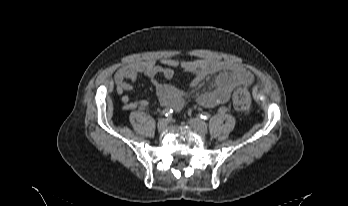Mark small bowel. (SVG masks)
<instances>
[{
  "mask_svg": "<svg viewBox=\"0 0 348 206\" xmlns=\"http://www.w3.org/2000/svg\"><path fill=\"white\" fill-rule=\"evenodd\" d=\"M175 68H181L191 74L189 89L199 86L207 76L217 74L215 88L200 93L196 98L197 102L204 107H213L228 102L236 86H250L254 80L252 74L242 65L219 59L165 58L161 64H157L153 60L129 62L119 67L114 77L117 93L122 95L123 108L133 110L148 107L147 100L131 101L130 97L125 94L131 90L132 83L138 75L142 74L151 79L161 106L176 111L181 110L185 105L187 93L171 84L162 83L156 78L161 75L165 79H171Z\"/></svg>",
  "mask_w": 348,
  "mask_h": 206,
  "instance_id": "small-bowel-1",
  "label": "small bowel"
}]
</instances>
